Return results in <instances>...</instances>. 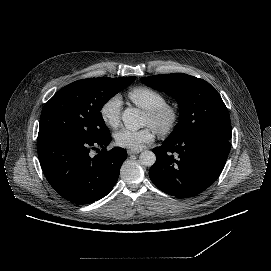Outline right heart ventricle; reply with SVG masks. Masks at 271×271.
Returning <instances> with one entry per match:
<instances>
[{
	"instance_id": "right-heart-ventricle-1",
	"label": "right heart ventricle",
	"mask_w": 271,
	"mask_h": 271,
	"mask_svg": "<svg viewBox=\"0 0 271 271\" xmlns=\"http://www.w3.org/2000/svg\"><path fill=\"white\" fill-rule=\"evenodd\" d=\"M128 97L145 110H150L166 103L165 96L148 86H137L128 92Z\"/></svg>"
}]
</instances>
